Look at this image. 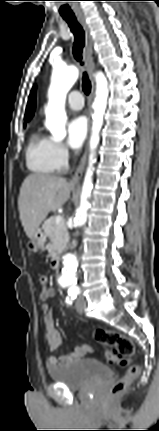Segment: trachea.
<instances>
[{"mask_svg":"<svg viewBox=\"0 0 159 431\" xmlns=\"http://www.w3.org/2000/svg\"><path fill=\"white\" fill-rule=\"evenodd\" d=\"M65 21L68 23L71 32L74 35V44H73V55L75 59L83 65L82 60V50L85 45V33L83 28L78 23L75 17H64ZM82 88L86 95H88L91 91V83L88 79V75L86 72L83 73L82 78Z\"/></svg>","mask_w":159,"mask_h":431,"instance_id":"trachea-1","label":"trachea"}]
</instances>
